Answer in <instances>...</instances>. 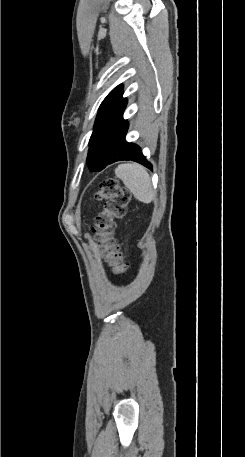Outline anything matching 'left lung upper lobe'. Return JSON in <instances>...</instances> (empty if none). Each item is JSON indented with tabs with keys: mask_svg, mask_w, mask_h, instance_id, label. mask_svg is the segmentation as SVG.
Instances as JSON below:
<instances>
[{
	"mask_svg": "<svg viewBox=\"0 0 245 457\" xmlns=\"http://www.w3.org/2000/svg\"><path fill=\"white\" fill-rule=\"evenodd\" d=\"M122 94V85H119L106 96L100 105L94 128L111 123L122 115L127 104V100L122 98Z\"/></svg>",
	"mask_w": 245,
	"mask_h": 457,
	"instance_id": "obj_1",
	"label": "left lung upper lobe"
}]
</instances>
